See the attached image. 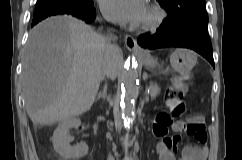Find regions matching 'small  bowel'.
I'll return each instance as SVG.
<instances>
[{"mask_svg":"<svg viewBox=\"0 0 242 160\" xmlns=\"http://www.w3.org/2000/svg\"><path fill=\"white\" fill-rule=\"evenodd\" d=\"M199 124L204 126L202 118L200 116H193L189 117L186 121L174 120L171 122L170 126L173 132L171 135L168 134V131L165 133H155L158 137L156 149L160 160H206L207 138L205 141L195 140L197 145L183 147L180 158L177 159L176 157L178 142L182 134L187 133L190 128H195ZM190 136L194 138L193 135Z\"/></svg>","mask_w":242,"mask_h":160,"instance_id":"c3829d8e","label":"small bowel"}]
</instances>
